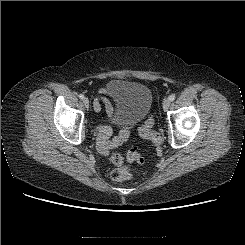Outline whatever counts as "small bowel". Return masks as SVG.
I'll return each mask as SVG.
<instances>
[{"instance_id": "c3829d8e", "label": "small bowel", "mask_w": 245, "mask_h": 245, "mask_svg": "<svg viewBox=\"0 0 245 245\" xmlns=\"http://www.w3.org/2000/svg\"><path fill=\"white\" fill-rule=\"evenodd\" d=\"M100 94L105 96H112L111 84L105 85L100 88ZM102 104L105 105L106 112L110 118L115 120L117 117L114 113V110L111 104L104 98H97L94 101V109L97 112L101 111ZM133 128L132 122H127L121 128L119 134L113 138L111 137L112 130L108 126H100L99 127V135L97 137V148L103 155H108L113 149L118 148L121 146L126 139L129 137L131 130Z\"/></svg>"}]
</instances>
